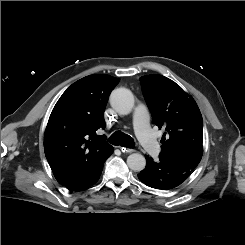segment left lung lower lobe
I'll use <instances>...</instances> for the list:
<instances>
[{
  "mask_svg": "<svg viewBox=\"0 0 245 245\" xmlns=\"http://www.w3.org/2000/svg\"><path fill=\"white\" fill-rule=\"evenodd\" d=\"M145 157L146 167L138 174V178L151 188L158 190L174 189L192 173L163 158L154 161L148 156Z\"/></svg>",
  "mask_w": 245,
  "mask_h": 245,
  "instance_id": "left-lung-lower-lobe-1",
  "label": "left lung lower lobe"
}]
</instances>
